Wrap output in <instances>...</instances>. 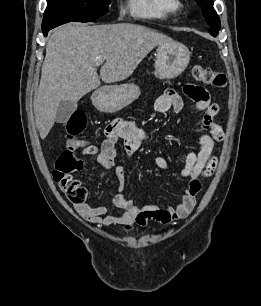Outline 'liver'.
<instances>
[{"label":"liver","mask_w":261,"mask_h":306,"mask_svg":"<svg viewBox=\"0 0 261 306\" xmlns=\"http://www.w3.org/2000/svg\"><path fill=\"white\" fill-rule=\"evenodd\" d=\"M172 39L147 27L129 23L88 26L67 23L55 29L46 46L38 92L34 97L36 126L45 139L62 101L77 102L104 83L132 75L159 44ZM104 64L97 73L96 58Z\"/></svg>","instance_id":"1"}]
</instances>
